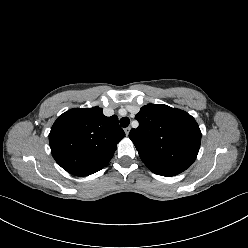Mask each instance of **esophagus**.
Listing matches in <instances>:
<instances>
[{"mask_svg":"<svg viewBox=\"0 0 248 248\" xmlns=\"http://www.w3.org/2000/svg\"><path fill=\"white\" fill-rule=\"evenodd\" d=\"M124 131H125L126 136H128V134L130 132V127L125 128Z\"/></svg>","mask_w":248,"mask_h":248,"instance_id":"1","label":"esophagus"}]
</instances>
